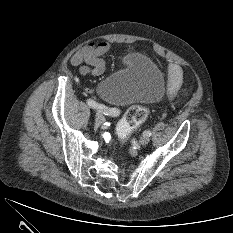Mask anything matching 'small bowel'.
<instances>
[{
  "label": "small bowel",
  "instance_id": "obj_1",
  "mask_svg": "<svg viewBox=\"0 0 233 233\" xmlns=\"http://www.w3.org/2000/svg\"><path fill=\"white\" fill-rule=\"evenodd\" d=\"M110 45L106 41L90 43L76 51L71 57V64L79 67L82 76H100L106 69V62L103 55L108 52ZM183 80L181 67L176 63L168 65L167 94L174 97Z\"/></svg>",
  "mask_w": 233,
  "mask_h": 233
}]
</instances>
